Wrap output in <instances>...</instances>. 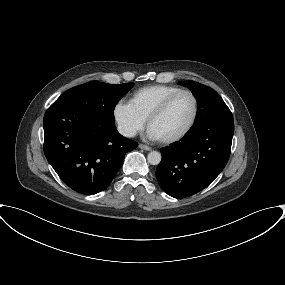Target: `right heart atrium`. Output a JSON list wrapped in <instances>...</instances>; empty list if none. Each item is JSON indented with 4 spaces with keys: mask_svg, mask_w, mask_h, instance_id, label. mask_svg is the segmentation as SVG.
<instances>
[{
    "mask_svg": "<svg viewBox=\"0 0 285 285\" xmlns=\"http://www.w3.org/2000/svg\"><path fill=\"white\" fill-rule=\"evenodd\" d=\"M113 118L119 132L125 137H134L144 125L143 120L129 102L119 101L113 108Z\"/></svg>",
    "mask_w": 285,
    "mask_h": 285,
    "instance_id": "obj_1",
    "label": "right heart atrium"
}]
</instances>
